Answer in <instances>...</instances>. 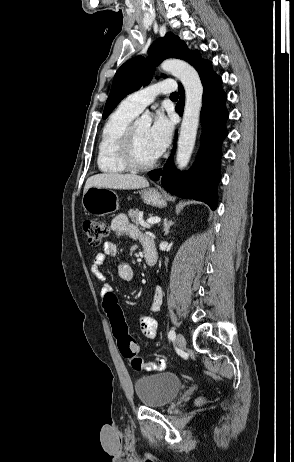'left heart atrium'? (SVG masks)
I'll list each match as a JSON object with an SVG mask.
<instances>
[{
    "instance_id": "1",
    "label": "left heart atrium",
    "mask_w": 294,
    "mask_h": 462,
    "mask_svg": "<svg viewBox=\"0 0 294 462\" xmlns=\"http://www.w3.org/2000/svg\"><path fill=\"white\" fill-rule=\"evenodd\" d=\"M172 133L173 124L171 120L164 114L158 113L148 131L150 142L157 156L161 155L169 145Z\"/></svg>"
}]
</instances>
